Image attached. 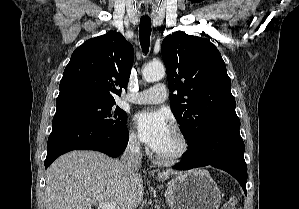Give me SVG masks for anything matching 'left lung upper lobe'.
Segmentation results:
<instances>
[{"instance_id":"5c2ea615","label":"left lung upper lobe","mask_w":299,"mask_h":209,"mask_svg":"<svg viewBox=\"0 0 299 209\" xmlns=\"http://www.w3.org/2000/svg\"><path fill=\"white\" fill-rule=\"evenodd\" d=\"M172 112L187 142L220 119L237 116L231 80L220 52L209 40L178 31L162 42Z\"/></svg>"}]
</instances>
